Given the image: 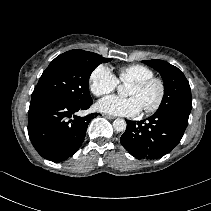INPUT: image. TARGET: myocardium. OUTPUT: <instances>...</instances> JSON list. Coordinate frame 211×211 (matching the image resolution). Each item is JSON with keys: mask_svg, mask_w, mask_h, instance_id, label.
<instances>
[{"mask_svg": "<svg viewBox=\"0 0 211 211\" xmlns=\"http://www.w3.org/2000/svg\"><path fill=\"white\" fill-rule=\"evenodd\" d=\"M152 83H155V84L158 85V87H159V97H158L156 103L153 106L146 108V109H143V111L146 114H153V113L157 112L160 109V107L162 106L164 99H165V96H166L165 82L160 77L151 76V77H147V78H144V79L136 80V81L131 83V85H134V86L139 87V88H144V87H146V86H148Z\"/></svg>", "mask_w": 211, "mask_h": 211, "instance_id": "f54148a6", "label": "myocardium"}]
</instances>
